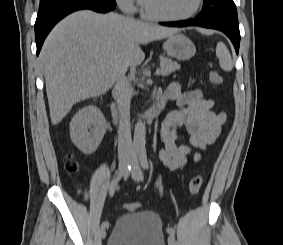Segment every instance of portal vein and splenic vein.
<instances>
[{"mask_svg":"<svg viewBox=\"0 0 283 245\" xmlns=\"http://www.w3.org/2000/svg\"><path fill=\"white\" fill-rule=\"evenodd\" d=\"M162 73L161 70H156V75H160Z\"/></svg>","mask_w":283,"mask_h":245,"instance_id":"1","label":"portal vein and splenic vein"}]
</instances>
